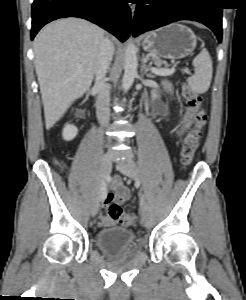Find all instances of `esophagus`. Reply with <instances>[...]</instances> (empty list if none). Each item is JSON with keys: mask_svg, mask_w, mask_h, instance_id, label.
<instances>
[{"mask_svg": "<svg viewBox=\"0 0 246 300\" xmlns=\"http://www.w3.org/2000/svg\"><path fill=\"white\" fill-rule=\"evenodd\" d=\"M129 7H130V10H131L132 15H133L134 10H135V5L131 3V5H129Z\"/></svg>", "mask_w": 246, "mask_h": 300, "instance_id": "esophagus-1", "label": "esophagus"}]
</instances>
